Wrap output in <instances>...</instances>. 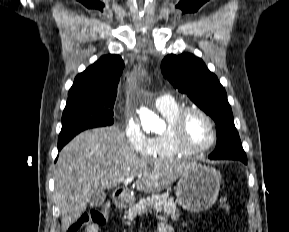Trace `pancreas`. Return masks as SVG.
<instances>
[{
	"instance_id": "cf45deb5",
	"label": "pancreas",
	"mask_w": 289,
	"mask_h": 232,
	"mask_svg": "<svg viewBox=\"0 0 289 232\" xmlns=\"http://www.w3.org/2000/svg\"><path fill=\"white\" fill-rule=\"evenodd\" d=\"M155 210L158 213H164V215L170 216L172 220H176L179 217L176 202L172 197L166 194L159 195L154 194L146 199H141L136 204L132 205L125 215L128 220H133L137 215L141 216Z\"/></svg>"
}]
</instances>
